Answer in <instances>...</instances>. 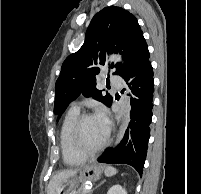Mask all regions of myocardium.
I'll use <instances>...</instances> for the list:
<instances>
[{
	"instance_id": "1",
	"label": "myocardium",
	"mask_w": 201,
	"mask_h": 194,
	"mask_svg": "<svg viewBox=\"0 0 201 194\" xmlns=\"http://www.w3.org/2000/svg\"><path fill=\"white\" fill-rule=\"evenodd\" d=\"M93 117L90 113L80 114L74 122L72 128V144L74 149L82 156L88 158L98 154L104 149L108 142V137L106 136L103 142L94 149H87L82 141V125L84 121L88 118Z\"/></svg>"
}]
</instances>
